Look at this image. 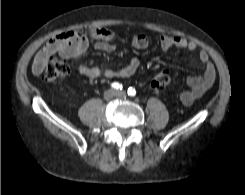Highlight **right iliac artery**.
<instances>
[{
    "mask_svg": "<svg viewBox=\"0 0 245 195\" xmlns=\"http://www.w3.org/2000/svg\"><path fill=\"white\" fill-rule=\"evenodd\" d=\"M111 87L114 88V89H116V90H122L123 89L122 84H120L118 82L112 83L111 84Z\"/></svg>",
    "mask_w": 245,
    "mask_h": 195,
    "instance_id": "1",
    "label": "right iliac artery"
}]
</instances>
